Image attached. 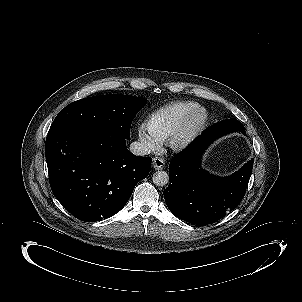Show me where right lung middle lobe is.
Segmentation results:
<instances>
[{
    "label": "right lung middle lobe",
    "instance_id": "obj_1",
    "mask_svg": "<svg viewBox=\"0 0 302 302\" xmlns=\"http://www.w3.org/2000/svg\"><path fill=\"white\" fill-rule=\"evenodd\" d=\"M146 99L121 94L93 96L67 105L53 121L49 132L76 125H98L129 139L130 126Z\"/></svg>",
    "mask_w": 302,
    "mask_h": 302
}]
</instances>
